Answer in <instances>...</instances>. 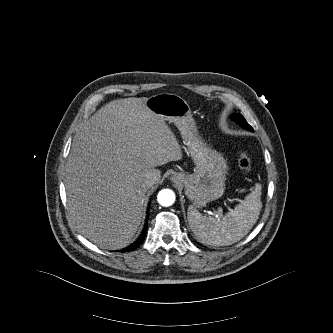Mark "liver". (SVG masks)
<instances>
[{"mask_svg": "<svg viewBox=\"0 0 333 333\" xmlns=\"http://www.w3.org/2000/svg\"><path fill=\"white\" fill-rule=\"evenodd\" d=\"M147 99L109 102L74 137L66 169L68 208L78 231L102 249L131 242L152 187L145 184L147 173L183 157L171 129L146 107Z\"/></svg>", "mask_w": 333, "mask_h": 333, "instance_id": "liver-1", "label": "liver"}]
</instances>
